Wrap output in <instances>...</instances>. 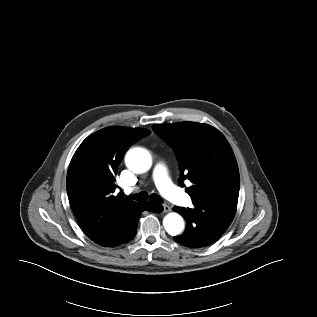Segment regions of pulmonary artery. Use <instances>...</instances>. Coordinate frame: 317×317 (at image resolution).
Wrapping results in <instances>:
<instances>
[{
	"mask_svg": "<svg viewBox=\"0 0 317 317\" xmlns=\"http://www.w3.org/2000/svg\"><path fill=\"white\" fill-rule=\"evenodd\" d=\"M153 179L158 190L169 201L181 206H189L192 203L191 197L172 183L167 168L163 163L159 162L155 165ZM132 190V188L128 189V191Z\"/></svg>",
	"mask_w": 317,
	"mask_h": 317,
	"instance_id": "e3ab8cb5",
	"label": "pulmonary artery"
}]
</instances>
